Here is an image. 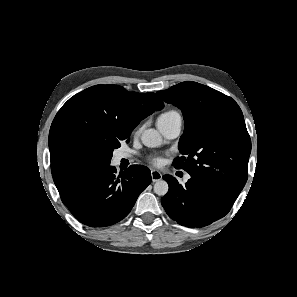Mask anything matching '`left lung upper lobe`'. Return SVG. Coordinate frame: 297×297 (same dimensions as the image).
Returning a JSON list of instances; mask_svg holds the SVG:
<instances>
[{
	"label": "left lung upper lobe",
	"instance_id": "1",
	"mask_svg": "<svg viewBox=\"0 0 297 297\" xmlns=\"http://www.w3.org/2000/svg\"><path fill=\"white\" fill-rule=\"evenodd\" d=\"M157 94L182 110V154L174 160L191 177L213 184L237 198L247 181L251 140L238 104L196 82H182Z\"/></svg>",
	"mask_w": 297,
	"mask_h": 297
}]
</instances>
